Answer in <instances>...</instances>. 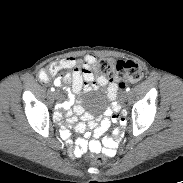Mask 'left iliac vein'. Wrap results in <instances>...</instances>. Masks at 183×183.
<instances>
[{"label": "left iliac vein", "mask_w": 183, "mask_h": 183, "mask_svg": "<svg viewBox=\"0 0 183 183\" xmlns=\"http://www.w3.org/2000/svg\"><path fill=\"white\" fill-rule=\"evenodd\" d=\"M121 97L123 100H126L128 98V92L127 91L122 92Z\"/></svg>", "instance_id": "4c4485c4"}]
</instances>
